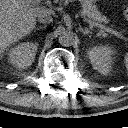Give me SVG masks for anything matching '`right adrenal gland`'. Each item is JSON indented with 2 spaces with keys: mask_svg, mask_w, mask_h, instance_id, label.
I'll use <instances>...</instances> for the list:
<instances>
[{
  "mask_svg": "<svg viewBox=\"0 0 128 128\" xmlns=\"http://www.w3.org/2000/svg\"><path fill=\"white\" fill-rule=\"evenodd\" d=\"M41 28H46V25H44V26H39V27H35V30H38V29H41Z\"/></svg>",
  "mask_w": 128,
  "mask_h": 128,
  "instance_id": "obj_1",
  "label": "right adrenal gland"
}]
</instances>
